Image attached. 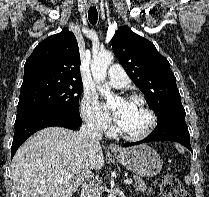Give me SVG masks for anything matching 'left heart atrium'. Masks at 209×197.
Listing matches in <instances>:
<instances>
[{
    "label": "left heart atrium",
    "mask_w": 209,
    "mask_h": 197,
    "mask_svg": "<svg viewBox=\"0 0 209 197\" xmlns=\"http://www.w3.org/2000/svg\"><path fill=\"white\" fill-rule=\"evenodd\" d=\"M128 107H129L128 102L124 101L119 107L116 108L114 114L117 122L121 121Z\"/></svg>",
    "instance_id": "39dd6f15"
}]
</instances>
